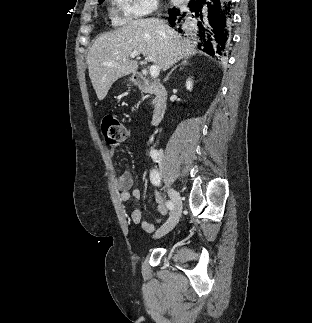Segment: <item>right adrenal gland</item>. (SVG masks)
Returning <instances> with one entry per match:
<instances>
[{"instance_id": "2a0ac1e0", "label": "right adrenal gland", "mask_w": 312, "mask_h": 323, "mask_svg": "<svg viewBox=\"0 0 312 323\" xmlns=\"http://www.w3.org/2000/svg\"><path fill=\"white\" fill-rule=\"evenodd\" d=\"M188 60H189V58H183L181 64H178V66H187ZM178 66H175V68H173V70H171V72H169L167 78H165V82H166V80H168L169 76H171L172 72H174V70H176V68H178Z\"/></svg>"}]
</instances>
